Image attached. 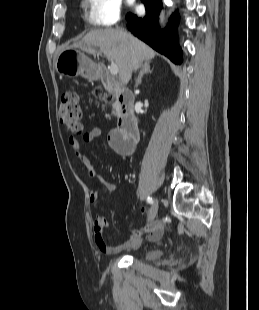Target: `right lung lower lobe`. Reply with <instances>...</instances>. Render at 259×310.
Returning <instances> with one entry per match:
<instances>
[{"label":"right lung lower lobe","instance_id":"1","mask_svg":"<svg viewBox=\"0 0 259 310\" xmlns=\"http://www.w3.org/2000/svg\"><path fill=\"white\" fill-rule=\"evenodd\" d=\"M142 2L146 8V15L138 18L136 15L127 14V28L153 49L167 56L173 63L181 64L182 52L176 35L178 14L173 13L168 26L160 31L157 17L162 8V0H142Z\"/></svg>","mask_w":259,"mask_h":310}]
</instances>
